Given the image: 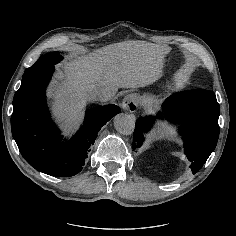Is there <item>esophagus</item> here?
Returning <instances> with one entry per match:
<instances>
[{
    "label": "esophagus",
    "mask_w": 236,
    "mask_h": 236,
    "mask_svg": "<svg viewBox=\"0 0 236 236\" xmlns=\"http://www.w3.org/2000/svg\"><path fill=\"white\" fill-rule=\"evenodd\" d=\"M121 108L127 112H135L138 109L136 96L134 94L126 95L122 100Z\"/></svg>",
    "instance_id": "esophagus-1"
}]
</instances>
